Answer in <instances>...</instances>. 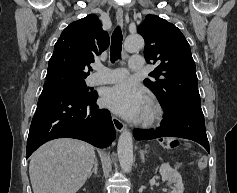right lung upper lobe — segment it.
<instances>
[{
    "mask_svg": "<svg viewBox=\"0 0 237 193\" xmlns=\"http://www.w3.org/2000/svg\"><path fill=\"white\" fill-rule=\"evenodd\" d=\"M109 46V35L98 17L90 14L67 26L54 46L48 71L86 78L91 62Z\"/></svg>",
    "mask_w": 237,
    "mask_h": 193,
    "instance_id": "1",
    "label": "right lung upper lobe"
}]
</instances>
